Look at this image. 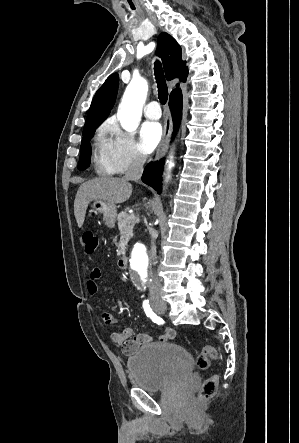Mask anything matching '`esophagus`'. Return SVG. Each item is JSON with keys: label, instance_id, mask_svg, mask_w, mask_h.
<instances>
[{"label": "esophagus", "instance_id": "34e87169", "mask_svg": "<svg viewBox=\"0 0 299 443\" xmlns=\"http://www.w3.org/2000/svg\"><path fill=\"white\" fill-rule=\"evenodd\" d=\"M171 130H172L171 113H170L169 108H167L163 136H162L161 142L157 148L156 155H155L156 161L159 160L165 153V150L168 146L169 138L171 135Z\"/></svg>", "mask_w": 299, "mask_h": 443}]
</instances>
